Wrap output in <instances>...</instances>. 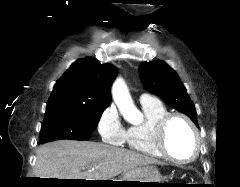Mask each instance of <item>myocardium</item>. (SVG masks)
Returning <instances> with one entry per match:
<instances>
[{"instance_id":"f54148a6","label":"myocardium","mask_w":240,"mask_h":187,"mask_svg":"<svg viewBox=\"0 0 240 187\" xmlns=\"http://www.w3.org/2000/svg\"><path fill=\"white\" fill-rule=\"evenodd\" d=\"M180 119L184 121L187 126L190 128L193 138H194V152L192 156L185 160H180L174 157L167 148L166 145V137H167V130L170 123L175 120ZM155 144L159 152L162 154L163 157L168 159L169 161L176 163V164H189L195 161L201 152V138L199 135V131L194 124V122L187 117L186 115L178 112L167 113L164 117H162L159 122L157 123L156 130H155Z\"/></svg>"}]
</instances>
